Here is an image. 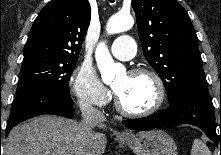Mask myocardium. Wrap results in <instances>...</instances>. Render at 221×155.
<instances>
[{"instance_id":"f54148a6","label":"myocardium","mask_w":221,"mask_h":155,"mask_svg":"<svg viewBox=\"0 0 221 155\" xmlns=\"http://www.w3.org/2000/svg\"><path fill=\"white\" fill-rule=\"evenodd\" d=\"M129 75H140L146 74L149 75L155 82L157 89V97L155 103L144 111L134 112L126 109L122 104L119 96L115 92V105L117 110L124 116L127 117H135V118H143L148 117L155 114L163 105L166 97L165 85L161 78V76L153 69L148 67H137L133 68L128 72Z\"/></svg>"}]
</instances>
